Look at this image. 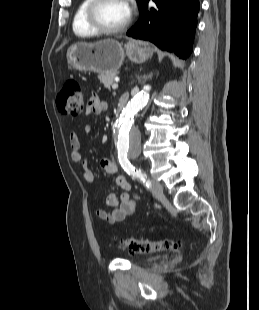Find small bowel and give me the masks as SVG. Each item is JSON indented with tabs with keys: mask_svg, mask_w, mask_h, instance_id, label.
Here are the masks:
<instances>
[{
	"mask_svg": "<svg viewBox=\"0 0 259 310\" xmlns=\"http://www.w3.org/2000/svg\"><path fill=\"white\" fill-rule=\"evenodd\" d=\"M106 109L107 105L101 101L99 96L97 94H92L87 104V111L93 114H101L106 111ZM85 131L89 132L90 127L87 126ZM70 146L71 159L74 163L81 165L83 180L89 184L93 183L95 181V177L87 164L86 158L81 153V141L76 132H72L70 134ZM100 166L105 173L116 175L115 182L117 186L123 190V192L119 196L116 193H109L107 195L106 203L108 206L113 208L111 212L104 209H97L95 213L99 219L109 224L124 221L125 219L133 216L136 211L137 200L129 194L131 185L125 177L117 175V166L112 160L103 158L100 161Z\"/></svg>",
	"mask_w": 259,
	"mask_h": 310,
	"instance_id": "small-bowel-1",
	"label": "small bowel"
}]
</instances>
